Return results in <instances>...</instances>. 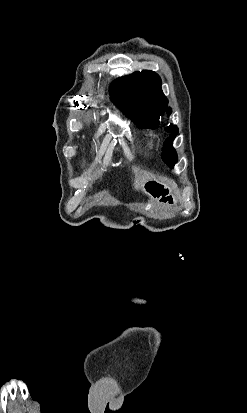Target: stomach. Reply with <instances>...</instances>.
I'll return each mask as SVG.
<instances>
[{
	"label": "stomach",
	"mask_w": 247,
	"mask_h": 413,
	"mask_svg": "<svg viewBox=\"0 0 247 413\" xmlns=\"http://www.w3.org/2000/svg\"><path fill=\"white\" fill-rule=\"evenodd\" d=\"M143 192L148 194L150 198H154L160 204H166V207H176L178 202L176 190L177 184L175 182H163L159 178H150L146 180L142 186Z\"/></svg>",
	"instance_id": "0dacf381"
}]
</instances>
